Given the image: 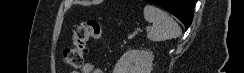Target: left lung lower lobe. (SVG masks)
<instances>
[{
  "instance_id": "left-lung-lower-lobe-1",
  "label": "left lung lower lobe",
  "mask_w": 244,
  "mask_h": 73,
  "mask_svg": "<svg viewBox=\"0 0 244 73\" xmlns=\"http://www.w3.org/2000/svg\"><path fill=\"white\" fill-rule=\"evenodd\" d=\"M176 16L188 28L192 22L195 0H148Z\"/></svg>"
}]
</instances>
